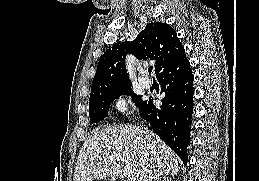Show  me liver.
I'll list each match as a JSON object with an SVG mask.
<instances>
[{
	"label": "liver",
	"mask_w": 259,
	"mask_h": 181,
	"mask_svg": "<svg viewBox=\"0 0 259 181\" xmlns=\"http://www.w3.org/2000/svg\"><path fill=\"white\" fill-rule=\"evenodd\" d=\"M124 156L125 161L117 159ZM121 162L132 169L129 181H153L160 175H175L180 159L154 132L132 125L95 130L83 143L74 181H116Z\"/></svg>",
	"instance_id": "6515ba94"
}]
</instances>
